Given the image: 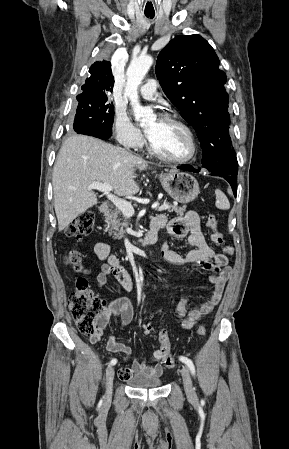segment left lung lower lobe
Listing matches in <instances>:
<instances>
[{
  "mask_svg": "<svg viewBox=\"0 0 289 449\" xmlns=\"http://www.w3.org/2000/svg\"><path fill=\"white\" fill-rule=\"evenodd\" d=\"M203 167L210 171V169L206 166L205 163L203 164ZM177 168L178 169H182V170H186V171L195 172V173L199 172V169H196V168H194L192 166H189V165L178 166ZM211 175L212 176H219V175H216L215 173H212V172H211ZM220 177H223L225 180H227L229 182V184L232 186V190H233L234 195L236 197V195H237V187H236L237 175H235V174L234 175H225V176H220Z\"/></svg>",
  "mask_w": 289,
  "mask_h": 449,
  "instance_id": "left-lung-lower-lobe-1",
  "label": "left lung lower lobe"
}]
</instances>
